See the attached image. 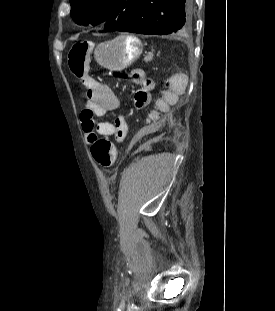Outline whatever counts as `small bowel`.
<instances>
[{
    "instance_id": "small-bowel-1",
    "label": "small bowel",
    "mask_w": 275,
    "mask_h": 311,
    "mask_svg": "<svg viewBox=\"0 0 275 311\" xmlns=\"http://www.w3.org/2000/svg\"><path fill=\"white\" fill-rule=\"evenodd\" d=\"M130 74L139 87L134 93V105L136 108H146L145 120L148 125L159 122V116H163L164 112H171L179 98H186L187 87L191 86V81L186 80V73H177L176 70L165 76L168 80H160L158 92L148 69H131ZM84 84L88 88L90 99L86 106H82L79 117L87 140L92 142L94 136L101 134L113 136L118 142L123 141L129 129L123 115H117L112 122L96 123L94 120V117H102L119 108V99L112 88L91 77L85 78Z\"/></svg>"
}]
</instances>
